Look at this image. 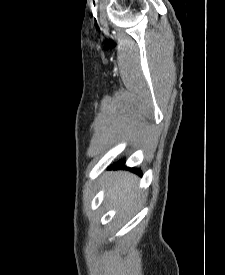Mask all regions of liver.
Wrapping results in <instances>:
<instances>
[{"mask_svg":"<svg viewBox=\"0 0 225 275\" xmlns=\"http://www.w3.org/2000/svg\"><path fill=\"white\" fill-rule=\"evenodd\" d=\"M136 184L137 178L133 174H113L109 179L106 199L113 206H118L120 211H127L134 204Z\"/></svg>","mask_w":225,"mask_h":275,"instance_id":"obj_1","label":"liver"}]
</instances>
